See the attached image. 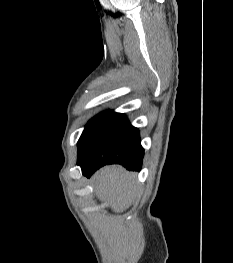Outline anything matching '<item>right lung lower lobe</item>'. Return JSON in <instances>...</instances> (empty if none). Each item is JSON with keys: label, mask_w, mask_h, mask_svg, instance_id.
I'll list each match as a JSON object with an SVG mask.
<instances>
[{"label": "right lung lower lobe", "mask_w": 233, "mask_h": 263, "mask_svg": "<svg viewBox=\"0 0 233 263\" xmlns=\"http://www.w3.org/2000/svg\"><path fill=\"white\" fill-rule=\"evenodd\" d=\"M78 147L77 164L87 177L106 164L118 163L132 171L142 167L144 149L140 144L139 130L121 113L108 112L79 140Z\"/></svg>", "instance_id": "obj_1"}]
</instances>
